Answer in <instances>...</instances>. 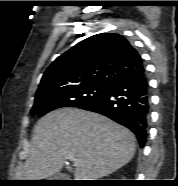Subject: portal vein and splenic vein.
<instances>
[{"mask_svg":"<svg viewBox=\"0 0 178 186\" xmlns=\"http://www.w3.org/2000/svg\"><path fill=\"white\" fill-rule=\"evenodd\" d=\"M67 159H69L70 161H75V159L71 156L67 157Z\"/></svg>","mask_w":178,"mask_h":186,"instance_id":"portal-vein-and-splenic-vein-1","label":"portal vein and splenic vein"}]
</instances>
